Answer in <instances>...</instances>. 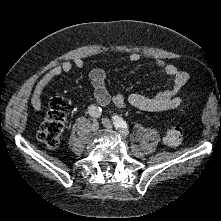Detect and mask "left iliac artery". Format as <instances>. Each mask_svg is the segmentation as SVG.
I'll use <instances>...</instances> for the list:
<instances>
[{
	"instance_id": "obj_1",
	"label": "left iliac artery",
	"mask_w": 221,
	"mask_h": 221,
	"mask_svg": "<svg viewBox=\"0 0 221 221\" xmlns=\"http://www.w3.org/2000/svg\"><path fill=\"white\" fill-rule=\"evenodd\" d=\"M113 124L123 136L126 137L128 135L129 132H128L127 123L121 117L114 116Z\"/></svg>"
}]
</instances>
